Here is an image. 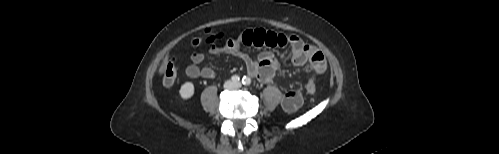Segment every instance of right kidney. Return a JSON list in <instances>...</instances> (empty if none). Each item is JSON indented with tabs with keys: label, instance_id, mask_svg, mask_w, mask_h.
<instances>
[{
	"label": "right kidney",
	"instance_id": "right-kidney-1",
	"mask_svg": "<svg viewBox=\"0 0 499 154\" xmlns=\"http://www.w3.org/2000/svg\"><path fill=\"white\" fill-rule=\"evenodd\" d=\"M194 85L192 82H185L180 90H179V94L181 96L182 99H189L191 98L193 95H194Z\"/></svg>",
	"mask_w": 499,
	"mask_h": 154
}]
</instances>
